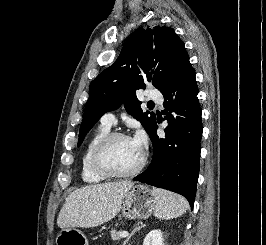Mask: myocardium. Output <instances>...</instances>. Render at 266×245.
<instances>
[{"label":"myocardium","mask_w":266,"mask_h":245,"mask_svg":"<svg viewBox=\"0 0 266 245\" xmlns=\"http://www.w3.org/2000/svg\"><path fill=\"white\" fill-rule=\"evenodd\" d=\"M119 138L130 139L128 135L120 131H110L95 146L92 152V166L94 171L105 179H123L130 178L138 174L145 164V155L140 151V158L133 170L127 173H116L112 171L106 164V154L111 144Z\"/></svg>","instance_id":"obj_1"}]
</instances>
